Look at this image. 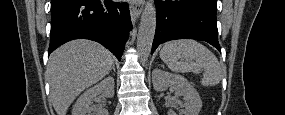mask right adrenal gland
<instances>
[{"mask_svg":"<svg viewBox=\"0 0 285 115\" xmlns=\"http://www.w3.org/2000/svg\"><path fill=\"white\" fill-rule=\"evenodd\" d=\"M111 70H113L115 72V65L113 63Z\"/></svg>","mask_w":285,"mask_h":115,"instance_id":"obj_1","label":"right adrenal gland"}]
</instances>
